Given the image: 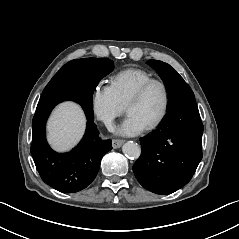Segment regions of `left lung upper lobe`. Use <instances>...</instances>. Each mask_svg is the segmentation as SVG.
<instances>
[{
	"label": "left lung upper lobe",
	"instance_id": "1",
	"mask_svg": "<svg viewBox=\"0 0 239 239\" xmlns=\"http://www.w3.org/2000/svg\"><path fill=\"white\" fill-rule=\"evenodd\" d=\"M151 65L162 78L169 95L168 109L175 103L188 98H194V93L183 78L167 63L149 60Z\"/></svg>",
	"mask_w": 239,
	"mask_h": 239
}]
</instances>
